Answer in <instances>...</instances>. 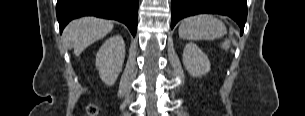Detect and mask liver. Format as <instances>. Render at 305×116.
<instances>
[{
    "mask_svg": "<svg viewBox=\"0 0 305 116\" xmlns=\"http://www.w3.org/2000/svg\"><path fill=\"white\" fill-rule=\"evenodd\" d=\"M113 29V23L94 17H85L70 22L63 33L65 40L79 56L89 45L102 39Z\"/></svg>",
    "mask_w": 305,
    "mask_h": 116,
    "instance_id": "6515ba94",
    "label": "liver"
}]
</instances>
